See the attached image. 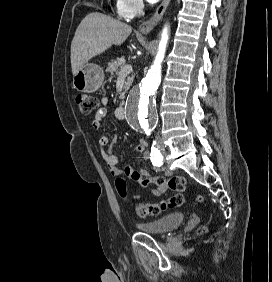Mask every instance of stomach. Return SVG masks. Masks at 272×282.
<instances>
[{"label":"stomach","instance_id":"0dacf381","mask_svg":"<svg viewBox=\"0 0 272 282\" xmlns=\"http://www.w3.org/2000/svg\"><path fill=\"white\" fill-rule=\"evenodd\" d=\"M104 81L102 67L97 64H85L73 78V86L76 90L85 93H94Z\"/></svg>","mask_w":272,"mask_h":282}]
</instances>
